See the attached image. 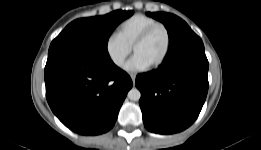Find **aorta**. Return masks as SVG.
<instances>
[{
    "instance_id": "762f6f07",
    "label": "aorta",
    "mask_w": 261,
    "mask_h": 150,
    "mask_svg": "<svg viewBox=\"0 0 261 150\" xmlns=\"http://www.w3.org/2000/svg\"><path fill=\"white\" fill-rule=\"evenodd\" d=\"M128 98L132 101H138L141 97V93L137 88H132L129 92H128Z\"/></svg>"
}]
</instances>
